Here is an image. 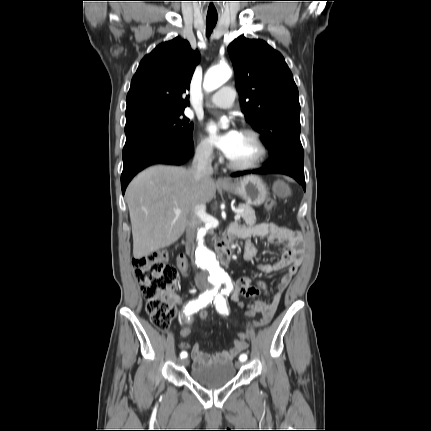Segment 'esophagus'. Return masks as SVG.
<instances>
[{
    "label": "esophagus",
    "mask_w": 431,
    "mask_h": 431,
    "mask_svg": "<svg viewBox=\"0 0 431 431\" xmlns=\"http://www.w3.org/2000/svg\"><path fill=\"white\" fill-rule=\"evenodd\" d=\"M217 183H219V184H226V183H228L229 181H228V179H226V178H218L217 179V181H216Z\"/></svg>",
    "instance_id": "obj_1"
}]
</instances>
